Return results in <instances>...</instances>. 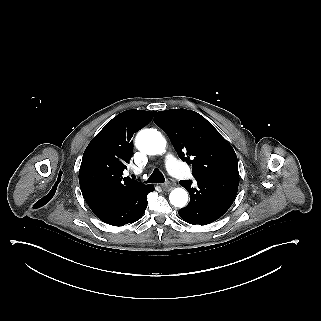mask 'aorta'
I'll use <instances>...</instances> for the list:
<instances>
[{
	"instance_id": "762f6f07",
	"label": "aorta",
	"mask_w": 321,
	"mask_h": 321,
	"mask_svg": "<svg viewBox=\"0 0 321 321\" xmlns=\"http://www.w3.org/2000/svg\"><path fill=\"white\" fill-rule=\"evenodd\" d=\"M137 148L148 155L163 154L166 148V140L156 129L141 130L135 140ZM170 203L182 208L187 204L188 193L184 188H175L169 195Z\"/></svg>"
}]
</instances>
